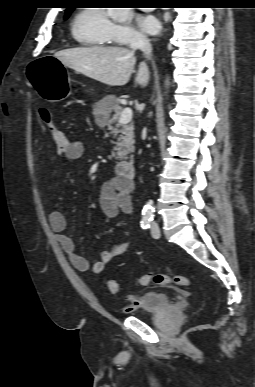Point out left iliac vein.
Instances as JSON below:
<instances>
[{"mask_svg":"<svg viewBox=\"0 0 255 387\" xmlns=\"http://www.w3.org/2000/svg\"><path fill=\"white\" fill-rule=\"evenodd\" d=\"M151 235L156 239L160 237V229L156 223H153L151 226Z\"/></svg>","mask_w":255,"mask_h":387,"instance_id":"left-iliac-vein-1","label":"left iliac vein"}]
</instances>
